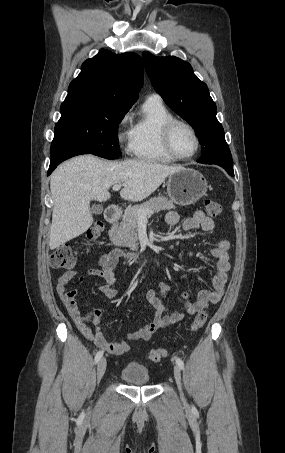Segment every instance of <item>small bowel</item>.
<instances>
[{"mask_svg":"<svg viewBox=\"0 0 285 453\" xmlns=\"http://www.w3.org/2000/svg\"><path fill=\"white\" fill-rule=\"evenodd\" d=\"M168 226H175L179 222V216L176 212H168L165 216ZM185 231L200 229L205 233L211 234L215 230L214 220L202 211H197L193 216L186 218L182 223ZM230 243L226 240L217 242L210 250L211 255L216 259L215 273L212 279V290L201 289L197 292L196 299L190 300L189 294L183 292L182 296L186 299L185 311H176L168 308L164 304V298L167 296L169 288L163 281L159 282L161 296L156 291L150 289L146 292V300L154 310L153 320L133 332L126 334L130 340L147 341L151 336L162 328H166L183 320L187 315H194L217 303L223 296L225 285L228 280L230 270L228 250ZM122 252L119 249L112 250L103 254L99 259V268L89 270L84 276L78 278V283H82L86 278H98L103 281L98 289L108 299H114L118 295L116 278L113 270L119 262ZM77 272L70 270L62 274L57 282L56 291L64 305L66 311L73 319L77 329L89 341H92L98 348L105 350L113 355H121L130 349L127 341L110 342L104 336L100 323L104 309H96L93 312L83 315L76 302V289H68L67 285L76 276ZM91 323L94 328L89 326ZM101 350V351H102Z\"/></svg>","mask_w":285,"mask_h":453,"instance_id":"obj_1","label":"small bowel"}]
</instances>
